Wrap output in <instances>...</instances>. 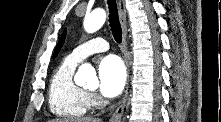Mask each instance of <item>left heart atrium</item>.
I'll list each match as a JSON object with an SVG mask.
<instances>
[{
	"mask_svg": "<svg viewBox=\"0 0 221 122\" xmlns=\"http://www.w3.org/2000/svg\"><path fill=\"white\" fill-rule=\"evenodd\" d=\"M99 91L104 97H115L122 91L126 81V69L115 55L104 57L98 66Z\"/></svg>",
	"mask_w": 221,
	"mask_h": 122,
	"instance_id": "1",
	"label": "left heart atrium"
}]
</instances>
